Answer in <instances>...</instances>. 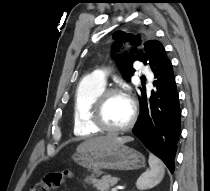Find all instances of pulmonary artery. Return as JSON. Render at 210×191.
Segmentation results:
<instances>
[{"label": "pulmonary artery", "instance_id": "pulmonary-artery-1", "mask_svg": "<svg viewBox=\"0 0 210 191\" xmlns=\"http://www.w3.org/2000/svg\"><path fill=\"white\" fill-rule=\"evenodd\" d=\"M137 64V68L139 69L140 73L144 76H150L151 72L150 70L141 65L139 62L136 63ZM88 77L94 81L106 84V79H107V70L105 68H100V69H96L93 72H91Z\"/></svg>", "mask_w": 210, "mask_h": 191}]
</instances>
